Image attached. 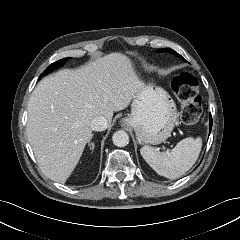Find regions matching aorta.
Instances as JSON below:
<instances>
[{
	"instance_id": "aorta-1",
	"label": "aorta",
	"mask_w": 240,
	"mask_h": 240,
	"mask_svg": "<svg viewBox=\"0 0 240 240\" xmlns=\"http://www.w3.org/2000/svg\"><path fill=\"white\" fill-rule=\"evenodd\" d=\"M112 141L117 147H125L129 143V135L123 130H118L113 134Z\"/></svg>"
}]
</instances>
